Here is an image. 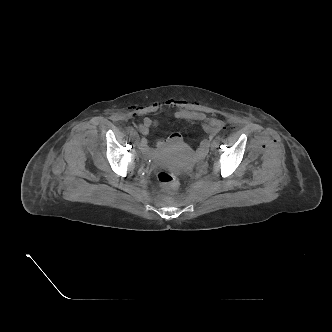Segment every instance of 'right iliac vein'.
Returning <instances> with one entry per match:
<instances>
[{"mask_svg":"<svg viewBox=\"0 0 332 332\" xmlns=\"http://www.w3.org/2000/svg\"><path fill=\"white\" fill-rule=\"evenodd\" d=\"M133 137L138 141V139H139V135H138V133L137 132H133Z\"/></svg>","mask_w":332,"mask_h":332,"instance_id":"1","label":"right iliac vein"}]
</instances>
